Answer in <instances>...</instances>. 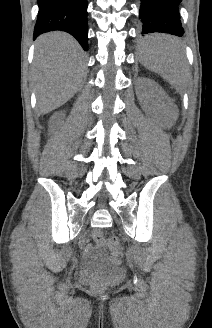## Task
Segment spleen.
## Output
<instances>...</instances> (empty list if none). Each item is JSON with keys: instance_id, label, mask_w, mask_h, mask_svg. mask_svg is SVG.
<instances>
[{"instance_id": "obj_1", "label": "spleen", "mask_w": 212, "mask_h": 328, "mask_svg": "<svg viewBox=\"0 0 212 328\" xmlns=\"http://www.w3.org/2000/svg\"><path fill=\"white\" fill-rule=\"evenodd\" d=\"M139 48L142 64L160 74L177 89L186 84V59L181 42L170 35H154Z\"/></svg>"}]
</instances>
